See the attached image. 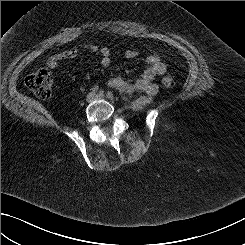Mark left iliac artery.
<instances>
[{
  "mask_svg": "<svg viewBox=\"0 0 245 245\" xmlns=\"http://www.w3.org/2000/svg\"><path fill=\"white\" fill-rule=\"evenodd\" d=\"M106 96H107V98H109V99H113V98H114V95H113L112 92H108V93L106 94Z\"/></svg>",
  "mask_w": 245,
  "mask_h": 245,
  "instance_id": "1",
  "label": "left iliac artery"
}]
</instances>
